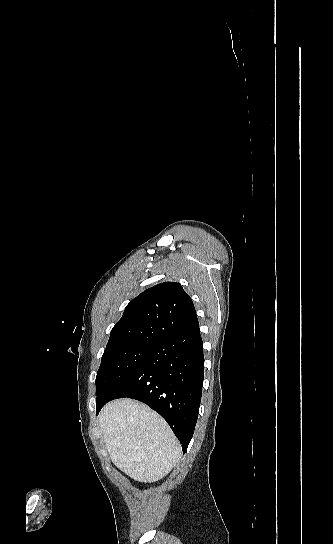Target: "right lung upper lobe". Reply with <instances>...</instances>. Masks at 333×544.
I'll list each match as a JSON object with an SVG mask.
<instances>
[{"label": "right lung upper lobe", "mask_w": 333, "mask_h": 544, "mask_svg": "<svg viewBox=\"0 0 333 544\" xmlns=\"http://www.w3.org/2000/svg\"><path fill=\"white\" fill-rule=\"evenodd\" d=\"M198 325L190 296L176 282L157 284L134 298L110 333L106 350L154 344Z\"/></svg>", "instance_id": "1"}]
</instances>
